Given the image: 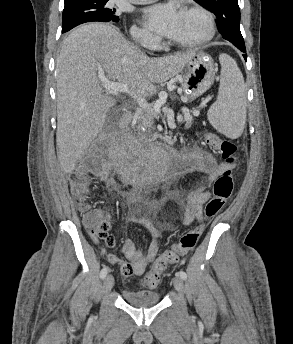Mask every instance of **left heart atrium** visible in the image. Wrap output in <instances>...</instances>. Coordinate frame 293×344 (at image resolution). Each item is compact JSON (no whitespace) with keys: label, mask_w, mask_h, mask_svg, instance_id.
Returning a JSON list of instances; mask_svg holds the SVG:
<instances>
[{"label":"left heart atrium","mask_w":293,"mask_h":344,"mask_svg":"<svg viewBox=\"0 0 293 344\" xmlns=\"http://www.w3.org/2000/svg\"><path fill=\"white\" fill-rule=\"evenodd\" d=\"M179 17V10L170 3L153 5L142 12L144 24L152 31L166 37L173 34Z\"/></svg>","instance_id":"1"}]
</instances>
